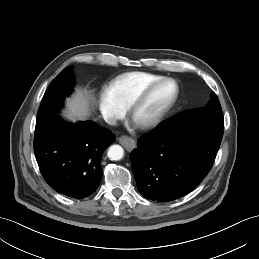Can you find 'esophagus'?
Listing matches in <instances>:
<instances>
[{
    "mask_svg": "<svg viewBox=\"0 0 259 259\" xmlns=\"http://www.w3.org/2000/svg\"><path fill=\"white\" fill-rule=\"evenodd\" d=\"M118 142L123 145L128 151H131L135 148V140L128 136H121L118 138Z\"/></svg>",
    "mask_w": 259,
    "mask_h": 259,
    "instance_id": "obj_1",
    "label": "esophagus"
}]
</instances>
